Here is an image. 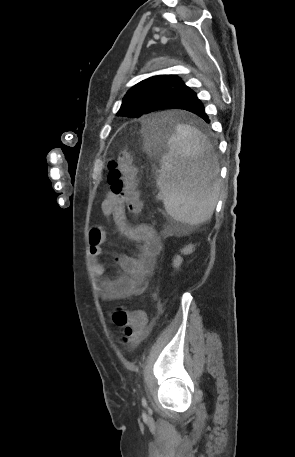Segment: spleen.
Wrapping results in <instances>:
<instances>
[{
	"label": "spleen",
	"instance_id": "3e777b00",
	"mask_svg": "<svg viewBox=\"0 0 295 457\" xmlns=\"http://www.w3.org/2000/svg\"><path fill=\"white\" fill-rule=\"evenodd\" d=\"M168 145L156 180L166 212L191 226L209 220L218 201L220 182L216 171L204 160L209 147L207 138L200 131L179 124ZM212 164L215 167V162Z\"/></svg>",
	"mask_w": 295,
	"mask_h": 457
}]
</instances>
